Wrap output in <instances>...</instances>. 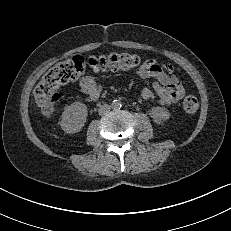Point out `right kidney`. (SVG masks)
Returning a JSON list of instances; mask_svg holds the SVG:
<instances>
[{
    "instance_id": "right-kidney-1",
    "label": "right kidney",
    "mask_w": 231,
    "mask_h": 231,
    "mask_svg": "<svg viewBox=\"0 0 231 231\" xmlns=\"http://www.w3.org/2000/svg\"><path fill=\"white\" fill-rule=\"evenodd\" d=\"M87 115V106L81 102H74L62 113L60 127L67 134L80 132L86 123Z\"/></svg>"
}]
</instances>
